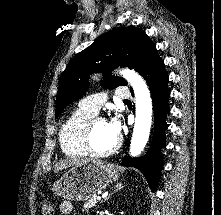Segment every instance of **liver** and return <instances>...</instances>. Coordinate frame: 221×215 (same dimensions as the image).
Here are the masks:
<instances>
[{
  "label": "liver",
  "mask_w": 221,
  "mask_h": 215,
  "mask_svg": "<svg viewBox=\"0 0 221 215\" xmlns=\"http://www.w3.org/2000/svg\"><path fill=\"white\" fill-rule=\"evenodd\" d=\"M87 161L89 159L66 158L55 165L54 172H59L71 166L81 165Z\"/></svg>",
  "instance_id": "liver-1"
}]
</instances>
